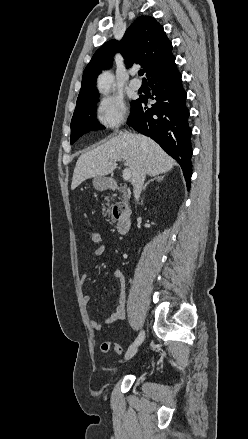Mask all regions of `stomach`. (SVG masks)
Here are the masks:
<instances>
[{"mask_svg": "<svg viewBox=\"0 0 248 439\" xmlns=\"http://www.w3.org/2000/svg\"><path fill=\"white\" fill-rule=\"evenodd\" d=\"M92 182L95 189L102 191L109 187L110 179L105 176H95Z\"/></svg>", "mask_w": 248, "mask_h": 439, "instance_id": "0dacf381", "label": "stomach"}]
</instances>
